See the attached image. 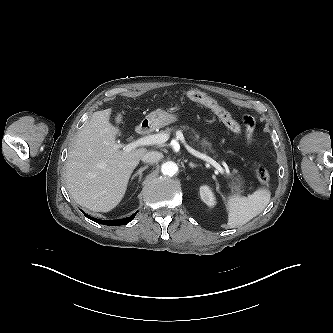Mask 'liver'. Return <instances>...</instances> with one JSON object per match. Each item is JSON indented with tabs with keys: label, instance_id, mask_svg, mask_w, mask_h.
<instances>
[{
	"label": "liver",
	"instance_id": "6515ba94",
	"mask_svg": "<svg viewBox=\"0 0 333 333\" xmlns=\"http://www.w3.org/2000/svg\"><path fill=\"white\" fill-rule=\"evenodd\" d=\"M112 109L94 112L79 131L66 163V184L72 198L95 212H109L125 195L129 178L141 157L143 147L120 150L118 127L110 122Z\"/></svg>",
	"mask_w": 333,
	"mask_h": 333
}]
</instances>
